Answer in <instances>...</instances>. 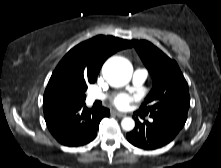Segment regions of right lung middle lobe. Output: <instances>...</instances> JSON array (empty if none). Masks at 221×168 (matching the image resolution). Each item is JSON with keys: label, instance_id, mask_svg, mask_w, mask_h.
Wrapping results in <instances>:
<instances>
[{"label": "right lung middle lobe", "instance_id": "obj_1", "mask_svg": "<svg viewBox=\"0 0 221 168\" xmlns=\"http://www.w3.org/2000/svg\"><path fill=\"white\" fill-rule=\"evenodd\" d=\"M92 83L84 79H67L64 81L61 91L71 103H81L85 101V91L87 84Z\"/></svg>", "mask_w": 221, "mask_h": 168}]
</instances>
